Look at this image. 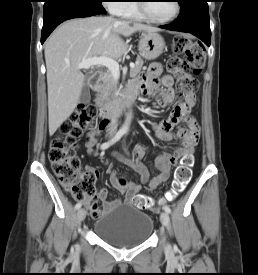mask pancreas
<instances>
[{
	"instance_id": "cf45deb5",
	"label": "pancreas",
	"mask_w": 258,
	"mask_h": 275,
	"mask_svg": "<svg viewBox=\"0 0 258 275\" xmlns=\"http://www.w3.org/2000/svg\"><path fill=\"white\" fill-rule=\"evenodd\" d=\"M143 59L137 57L135 67L130 69V77H136L143 66ZM117 78H115L110 71L104 73L102 78V84L97 87V104L103 105L116 98L115 93L117 92Z\"/></svg>"
}]
</instances>
